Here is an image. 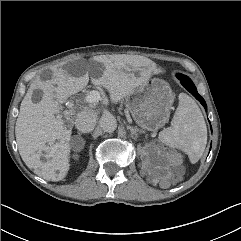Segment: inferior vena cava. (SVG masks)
Segmentation results:
<instances>
[{"mask_svg": "<svg viewBox=\"0 0 241 241\" xmlns=\"http://www.w3.org/2000/svg\"><path fill=\"white\" fill-rule=\"evenodd\" d=\"M97 113L94 110H83L75 118V126L82 133L93 131L96 125Z\"/></svg>", "mask_w": 241, "mask_h": 241, "instance_id": "inferior-vena-cava-1", "label": "inferior vena cava"}]
</instances>
